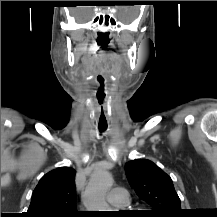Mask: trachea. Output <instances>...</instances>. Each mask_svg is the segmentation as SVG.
I'll list each match as a JSON object with an SVG mask.
<instances>
[{
	"instance_id": "trachea-1",
	"label": "trachea",
	"mask_w": 217,
	"mask_h": 217,
	"mask_svg": "<svg viewBox=\"0 0 217 217\" xmlns=\"http://www.w3.org/2000/svg\"><path fill=\"white\" fill-rule=\"evenodd\" d=\"M107 129V127H99L100 132H103Z\"/></svg>"
}]
</instances>
